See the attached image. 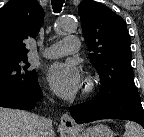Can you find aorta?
I'll return each instance as SVG.
<instances>
[{"label": "aorta", "mask_w": 144, "mask_h": 137, "mask_svg": "<svg viewBox=\"0 0 144 137\" xmlns=\"http://www.w3.org/2000/svg\"><path fill=\"white\" fill-rule=\"evenodd\" d=\"M76 28V21L71 18L59 19L55 24V31L58 34L72 32Z\"/></svg>", "instance_id": "aorta-1"}]
</instances>
